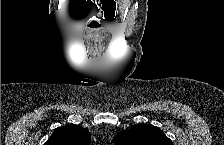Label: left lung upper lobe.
<instances>
[{
	"instance_id": "obj_1",
	"label": "left lung upper lobe",
	"mask_w": 224,
	"mask_h": 145,
	"mask_svg": "<svg viewBox=\"0 0 224 145\" xmlns=\"http://www.w3.org/2000/svg\"><path fill=\"white\" fill-rule=\"evenodd\" d=\"M116 145H173L163 131L148 124H138L115 137Z\"/></svg>"
}]
</instances>
